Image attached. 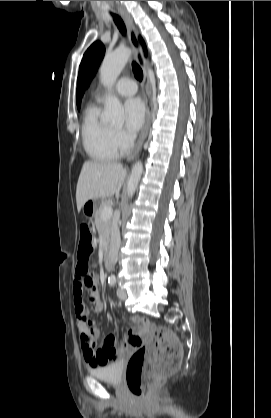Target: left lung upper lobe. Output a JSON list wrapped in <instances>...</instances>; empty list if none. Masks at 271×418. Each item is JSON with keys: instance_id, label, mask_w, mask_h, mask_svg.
Instances as JSON below:
<instances>
[{"instance_id": "left-lung-upper-lobe-1", "label": "left lung upper lobe", "mask_w": 271, "mask_h": 418, "mask_svg": "<svg viewBox=\"0 0 271 418\" xmlns=\"http://www.w3.org/2000/svg\"><path fill=\"white\" fill-rule=\"evenodd\" d=\"M105 52V47L101 42H94L85 52L79 67L77 79V106L80 107L81 97L94 76Z\"/></svg>"}]
</instances>
